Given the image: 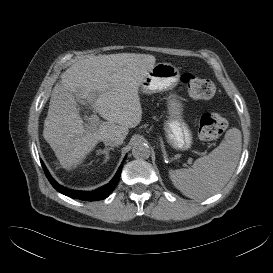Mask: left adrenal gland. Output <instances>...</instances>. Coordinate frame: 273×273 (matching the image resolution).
<instances>
[{"instance_id": "1", "label": "left adrenal gland", "mask_w": 273, "mask_h": 273, "mask_svg": "<svg viewBox=\"0 0 273 273\" xmlns=\"http://www.w3.org/2000/svg\"><path fill=\"white\" fill-rule=\"evenodd\" d=\"M163 153H164V156H165L166 155L165 151H163Z\"/></svg>"}]
</instances>
